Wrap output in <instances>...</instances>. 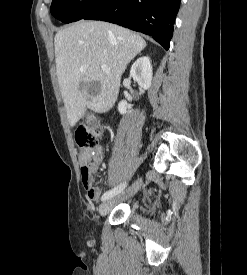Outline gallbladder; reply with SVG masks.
Returning a JSON list of instances; mask_svg holds the SVG:
<instances>
[{"mask_svg":"<svg viewBox=\"0 0 247 275\" xmlns=\"http://www.w3.org/2000/svg\"><path fill=\"white\" fill-rule=\"evenodd\" d=\"M90 91H91V93L93 92V89H92V87H90Z\"/></svg>","mask_w":247,"mask_h":275,"instance_id":"obj_1","label":"gallbladder"}]
</instances>
